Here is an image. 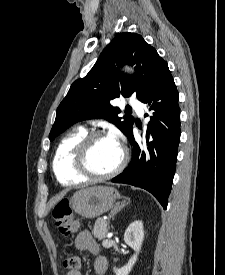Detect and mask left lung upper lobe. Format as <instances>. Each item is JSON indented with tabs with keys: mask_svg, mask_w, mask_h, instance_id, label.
Wrapping results in <instances>:
<instances>
[{
	"mask_svg": "<svg viewBox=\"0 0 225 275\" xmlns=\"http://www.w3.org/2000/svg\"><path fill=\"white\" fill-rule=\"evenodd\" d=\"M122 64L136 65V75L120 72L117 68ZM167 69V62L142 36L129 32L118 34L106 46L90 72L71 85L57 108L50 140L72 124L93 118H105L126 134L134 118L118 117L120 110L110 101L132 94L141 100Z\"/></svg>",
	"mask_w": 225,
	"mask_h": 275,
	"instance_id": "obj_1",
	"label": "left lung upper lobe"
}]
</instances>
